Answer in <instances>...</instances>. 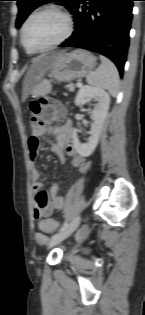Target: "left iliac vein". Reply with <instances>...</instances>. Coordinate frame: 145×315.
Here are the masks:
<instances>
[{"label":"left iliac vein","mask_w":145,"mask_h":315,"mask_svg":"<svg viewBox=\"0 0 145 315\" xmlns=\"http://www.w3.org/2000/svg\"><path fill=\"white\" fill-rule=\"evenodd\" d=\"M80 221L81 216H76L63 231L57 233L51 238L49 247H53L69 237L78 228Z\"/></svg>","instance_id":"obj_1"}]
</instances>
